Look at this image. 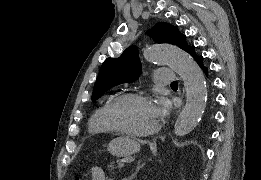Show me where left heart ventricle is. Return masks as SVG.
<instances>
[{
  "label": "left heart ventricle",
  "mask_w": 261,
  "mask_h": 180,
  "mask_svg": "<svg viewBox=\"0 0 261 180\" xmlns=\"http://www.w3.org/2000/svg\"><path fill=\"white\" fill-rule=\"evenodd\" d=\"M158 112L159 107L153 99H129L113 107L110 117L123 134L142 136L154 128Z\"/></svg>",
  "instance_id": "1"
}]
</instances>
